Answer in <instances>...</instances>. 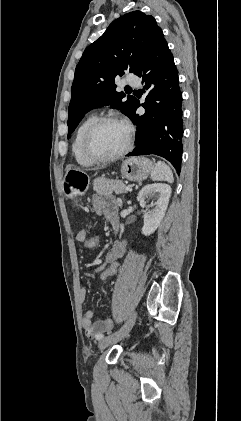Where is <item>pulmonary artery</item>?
<instances>
[{
  "instance_id": "pulmonary-artery-1",
  "label": "pulmonary artery",
  "mask_w": 241,
  "mask_h": 421,
  "mask_svg": "<svg viewBox=\"0 0 241 421\" xmlns=\"http://www.w3.org/2000/svg\"><path fill=\"white\" fill-rule=\"evenodd\" d=\"M126 83H127L128 85L138 87V86L140 85V80H139V78H138V77L133 76V77H129V78L126 80Z\"/></svg>"
}]
</instances>
